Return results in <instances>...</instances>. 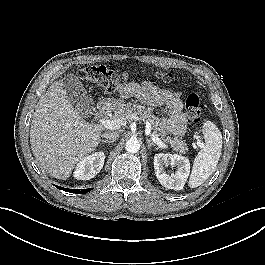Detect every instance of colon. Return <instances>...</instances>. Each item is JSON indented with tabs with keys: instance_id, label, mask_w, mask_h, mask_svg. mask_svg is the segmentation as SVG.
<instances>
[{
	"instance_id": "colon-1",
	"label": "colon",
	"mask_w": 265,
	"mask_h": 265,
	"mask_svg": "<svg viewBox=\"0 0 265 265\" xmlns=\"http://www.w3.org/2000/svg\"><path fill=\"white\" fill-rule=\"evenodd\" d=\"M145 73L167 84L175 81V76L170 73L153 70L145 71ZM78 77L83 81L103 88L108 93H116L127 86L130 74L128 72L117 73L103 65H90L81 68L78 71ZM185 108L187 117L192 123L198 124L201 122L203 107L197 94L191 93L187 96Z\"/></svg>"
}]
</instances>
